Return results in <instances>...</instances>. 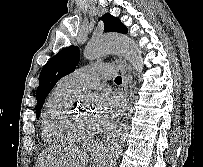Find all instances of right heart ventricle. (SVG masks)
I'll return each mask as SVG.
<instances>
[{
    "mask_svg": "<svg viewBox=\"0 0 203 167\" xmlns=\"http://www.w3.org/2000/svg\"><path fill=\"white\" fill-rule=\"evenodd\" d=\"M76 92V89L60 81L48 96L41 117V137L47 144L63 145L73 141L60 129L59 121Z\"/></svg>",
    "mask_w": 203,
    "mask_h": 167,
    "instance_id": "e07e8e85",
    "label": "right heart ventricle"
}]
</instances>
